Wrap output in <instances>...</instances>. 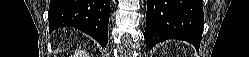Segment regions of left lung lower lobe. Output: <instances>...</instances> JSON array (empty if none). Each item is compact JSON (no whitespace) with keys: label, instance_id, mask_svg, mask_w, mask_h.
Masks as SVG:
<instances>
[{"label":"left lung lower lobe","instance_id":"0a47b994","mask_svg":"<svg viewBox=\"0 0 249 57\" xmlns=\"http://www.w3.org/2000/svg\"><path fill=\"white\" fill-rule=\"evenodd\" d=\"M203 20L202 0H147L146 47L173 38L199 49Z\"/></svg>","mask_w":249,"mask_h":57}]
</instances>
